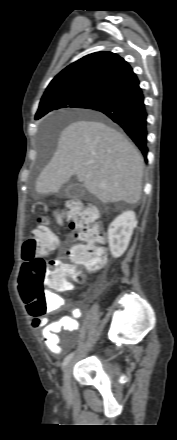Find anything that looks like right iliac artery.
Masks as SVG:
<instances>
[{"label": "right iliac artery", "mask_w": 177, "mask_h": 440, "mask_svg": "<svg viewBox=\"0 0 177 440\" xmlns=\"http://www.w3.org/2000/svg\"><path fill=\"white\" fill-rule=\"evenodd\" d=\"M73 355H74V353H70L69 355H67L65 357V359L63 361V366H66L69 363V361L72 359Z\"/></svg>", "instance_id": "1"}]
</instances>
